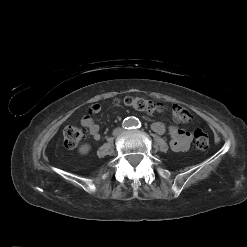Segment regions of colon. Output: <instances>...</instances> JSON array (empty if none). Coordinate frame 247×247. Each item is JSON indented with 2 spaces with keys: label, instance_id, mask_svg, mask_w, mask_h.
I'll return each mask as SVG.
<instances>
[{
  "label": "colon",
  "instance_id": "colon-1",
  "mask_svg": "<svg viewBox=\"0 0 247 247\" xmlns=\"http://www.w3.org/2000/svg\"><path fill=\"white\" fill-rule=\"evenodd\" d=\"M122 103L149 115L158 114L164 111L162 104L143 97L128 96L123 99ZM171 114L174 120L180 123H189L192 119L190 112L180 105H173ZM193 135L195 146L200 150H206L209 146V137L207 133L202 129H196ZM63 138L64 145L69 149H73L77 147L82 140L83 132L77 127L68 126L63 131Z\"/></svg>",
  "mask_w": 247,
  "mask_h": 247
}]
</instances>
